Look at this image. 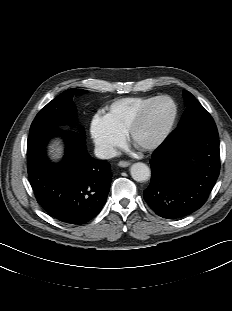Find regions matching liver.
I'll return each instance as SVG.
<instances>
[{"mask_svg": "<svg viewBox=\"0 0 232 311\" xmlns=\"http://www.w3.org/2000/svg\"><path fill=\"white\" fill-rule=\"evenodd\" d=\"M60 150H61L60 148H57V149H56V153H55V156H56V157H59V155H60V153H61Z\"/></svg>", "mask_w": 232, "mask_h": 311, "instance_id": "6515ba94", "label": "liver"}]
</instances>
